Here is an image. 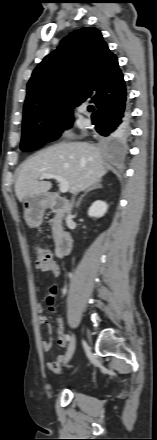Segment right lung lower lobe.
Returning a JSON list of instances; mask_svg holds the SVG:
<instances>
[{
    "instance_id": "1",
    "label": "right lung lower lobe",
    "mask_w": 157,
    "mask_h": 440,
    "mask_svg": "<svg viewBox=\"0 0 157 440\" xmlns=\"http://www.w3.org/2000/svg\"><path fill=\"white\" fill-rule=\"evenodd\" d=\"M93 124L99 135L126 139L129 133V112L126 95L108 102L103 108L92 115Z\"/></svg>"
}]
</instances>
